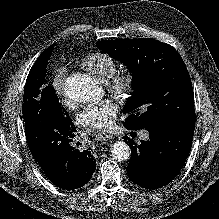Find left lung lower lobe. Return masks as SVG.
<instances>
[{
    "instance_id": "0a47b994",
    "label": "left lung lower lobe",
    "mask_w": 219,
    "mask_h": 219,
    "mask_svg": "<svg viewBox=\"0 0 219 219\" xmlns=\"http://www.w3.org/2000/svg\"><path fill=\"white\" fill-rule=\"evenodd\" d=\"M128 130H134L123 124ZM195 123L163 131H149V140L137 145L129 137L132 157L127 173L132 182L145 189L169 184L183 168L192 146Z\"/></svg>"
}]
</instances>
